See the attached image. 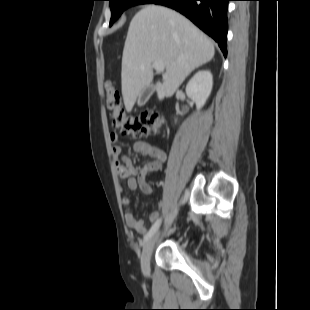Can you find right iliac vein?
Masks as SVG:
<instances>
[{
	"instance_id": "right-iliac-vein-1",
	"label": "right iliac vein",
	"mask_w": 310,
	"mask_h": 310,
	"mask_svg": "<svg viewBox=\"0 0 310 310\" xmlns=\"http://www.w3.org/2000/svg\"><path fill=\"white\" fill-rule=\"evenodd\" d=\"M158 233L152 235L144 244L141 254V268L144 275H150V259L153 252Z\"/></svg>"
}]
</instances>
